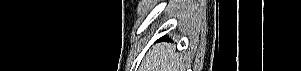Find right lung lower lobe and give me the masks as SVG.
<instances>
[{
	"label": "right lung lower lobe",
	"mask_w": 301,
	"mask_h": 71,
	"mask_svg": "<svg viewBox=\"0 0 301 71\" xmlns=\"http://www.w3.org/2000/svg\"><path fill=\"white\" fill-rule=\"evenodd\" d=\"M161 40H168V37L167 36H163L162 38H160V41Z\"/></svg>",
	"instance_id": "obj_1"
}]
</instances>
